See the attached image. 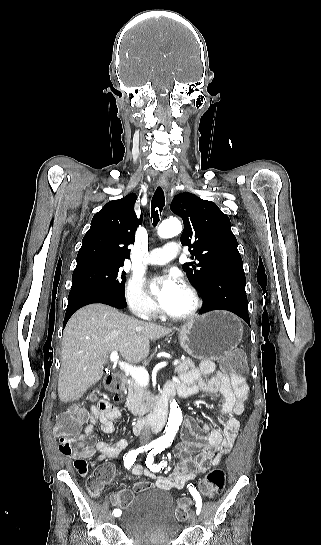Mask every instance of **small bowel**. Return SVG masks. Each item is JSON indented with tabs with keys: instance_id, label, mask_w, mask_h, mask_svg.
I'll use <instances>...</instances> for the list:
<instances>
[{
	"instance_id": "small-bowel-1",
	"label": "small bowel",
	"mask_w": 321,
	"mask_h": 545,
	"mask_svg": "<svg viewBox=\"0 0 321 545\" xmlns=\"http://www.w3.org/2000/svg\"><path fill=\"white\" fill-rule=\"evenodd\" d=\"M210 375L211 377L207 378ZM178 388L184 396L203 391L211 394L220 393L222 399L218 405L219 416L215 428H210L206 424L199 428L192 418H187L182 430L181 442L177 446L179 463L169 475L157 476L152 470L141 465L133 467L134 475L155 479L156 486L165 490L182 489L187 482L205 474L211 467L217 465L221 457L230 451L240 425L237 416L242 414L244 403L249 395L245 378L223 374L217 371L214 362L209 360L202 362L198 368L185 372ZM120 416L119 409L106 401L101 402L90 409L88 421L84 427L85 435L91 436L98 422L104 433H113L114 421ZM201 429L207 431L208 435L203 437ZM126 446L125 439H119L112 444L98 441L91 452H98L96 461L104 462L118 457ZM78 461H83L87 469V463L83 458L76 459L75 463ZM101 471L107 472L103 479L104 484L111 482L120 474L111 463L102 464L96 472Z\"/></svg>"
}]
</instances>
